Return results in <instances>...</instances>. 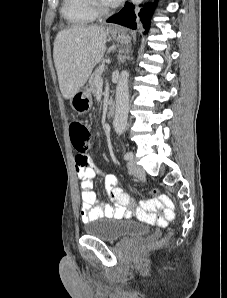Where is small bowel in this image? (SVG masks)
Segmentation results:
<instances>
[{
  "instance_id": "small-bowel-1",
  "label": "small bowel",
  "mask_w": 227,
  "mask_h": 298,
  "mask_svg": "<svg viewBox=\"0 0 227 298\" xmlns=\"http://www.w3.org/2000/svg\"><path fill=\"white\" fill-rule=\"evenodd\" d=\"M75 170L82 190L80 215L83 222L99 218L122 219L133 215L130 208V198L120 187L117 177L102 172L94 161L87 156V150H76ZM96 176L104 178V188L112 199V205L99 200L92 190L93 179ZM154 208V206L148 205L147 202H143L141 208L136 211V215L141 219L158 222L161 225L166 224L167 220L164 215L158 218L154 213Z\"/></svg>"
}]
</instances>
